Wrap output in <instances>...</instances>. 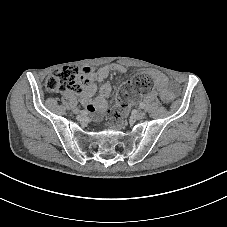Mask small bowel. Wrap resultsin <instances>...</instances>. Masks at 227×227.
Instances as JSON below:
<instances>
[{
    "label": "small bowel",
    "instance_id": "small-bowel-1",
    "mask_svg": "<svg viewBox=\"0 0 227 227\" xmlns=\"http://www.w3.org/2000/svg\"><path fill=\"white\" fill-rule=\"evenodd\" d=\"M111 71L125 73L127 68L117 63L104 65L97 69L90 66L82 68L81 82L83 88L79 92L80 98L87 111L96 117H99L108 106L107 97L111 94L112 87L104 80ZM148 75L153 79L154 83V89L149 93L148 97H154L158 93L164 102L169 103L178 96L179 85L176 82L170 81L158 71H149ZM95 82L101 83L97 97H93L97 90Z\"/></svg>",
    "mask_w": 227,
    "mask_h": 227
}]
</instances>
